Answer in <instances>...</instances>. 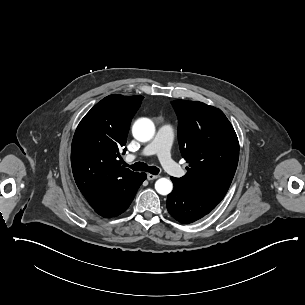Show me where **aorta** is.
I'll use <instances>...</instances> for the list:
<instances>
[{
	"instance_id": "obj_1",
	"label": "aorta",
	"mask_w": 305,
	"mask_h": 305,
	"mask_svg": "<svg viewBox=\"0 0 305 305\" xmlns=\"http://www.w3.org/2000/svg\"><path fill=\"white\" fill-rule=\"evenodd\" d=\"M132 134L136 140L147 142L151 140L155 134L154 123L148 118H140L134 123ZM155 190L161 195H168L173 190V184L167 178H160L155 183Z\"/></svg>"
}]
</instances>
